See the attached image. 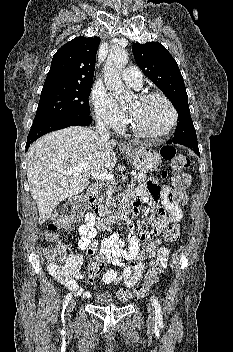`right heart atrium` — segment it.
Listing matches in <instances>:
<instances>
[{"label": "right heart atrium", "mask_w": 233, "mask_h": 352, "mask_svg": "<svg viewBox=\"0 0 233 352\" xmlns=\"http://www.w3.org/2000/svg\"><path fill=\"white\" fill-rule=\"evenodd\" d=\"M92 102L98 123L114 130L124 126L126 121L124 115L105 92L95 90L92 93Z\"/></svg>", "instance_id": "1"}]
</instances>
